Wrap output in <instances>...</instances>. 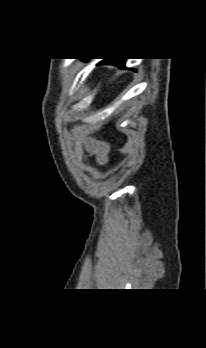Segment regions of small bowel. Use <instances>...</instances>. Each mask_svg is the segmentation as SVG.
Returning a JSON list of instances; mask_svg holds the SVG:
<instances>
[{
  "instance_id": "c3829d8e",
  "label": "small bowel",
  "mask_w": 206,
  "mask_h": 348,
  "mask_svg": "<svg viewBox=\"0 0 206 348\" xmlns=\"http://www.w3.org/2000/svg\"><path fill=\"white\" fill-rule=\"evenodd\" d=\"M87 144L88 152L96 156L100 163H104L109 153V145L105 142L95 140H89Z\"/></svg>"
}]
</instances>
